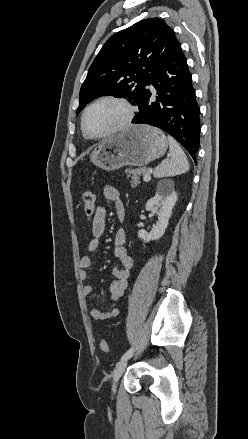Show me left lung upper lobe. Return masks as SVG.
I'll list each match as a JSON object with an SVG mask.
<instances>
[{"mask_svg": "<svg viewBox=\"0 0 248 439\" xmlns=\"http://www.w3.org/2000/svg\"><path fill=\"white\" fill-rule=\"evenodd\" d=\"M161 19H144L115 33L91 64L80 89L79 113L97 97L128 98L140 107L147 85L177 43Z\"/></svg>", "mask_w": 248, "mask_h": 439, "instance_id": "5c2ea615", "label": "left lung upper lobe"}]
</instances>
